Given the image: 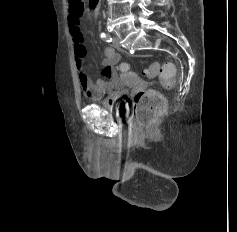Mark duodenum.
<instances>
[{
    "instance_id": "1",
    "label": "duodenum",
    "mask_w": 237,
    "mask_h": 232,
    "mask_svg": "<svg viewBox=\"0 0 237 232\" xmlns=\"http://www.w3.org/2000/svg\"><path fill=\"white\" fill-rule=\"evenodd\" d=\"M90 6L96 8L98 5V0H89Z\"/></svg>"
}]
</instances>
